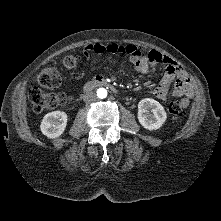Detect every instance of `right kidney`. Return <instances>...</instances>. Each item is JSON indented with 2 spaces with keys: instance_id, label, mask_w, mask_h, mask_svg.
Here are the masks:
<instances>
[{
  "instance_id": "right-kidney-1",
  "label": "right kidney",
  "mask_w": 221,
  "mask_h": 221,
  "mask_svg": "<svg viewBox=\"0 0 221 221\" xmlns=\"http://www.w3.org/2000/svg\"><path fill=\"white\" fill-rule=\"evenodd\" d=\"M67 114L63 111H53L44 116L40 129L48 138L59 137L66 128Z\"/></svg>"
}]
</instances>
